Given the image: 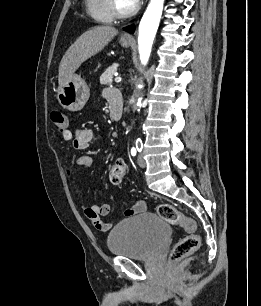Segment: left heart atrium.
Masks as SVG:
<instances>
[{
    "label": "left heart atrium",
    "mask_w": 261,
    "mask_h": 306,
    "mask_svg": "<svg viewBox=\"0 0 261 306\" xmlns=\"http://www.w3.org/2000/svg\"><path fill=\"white\" fill-rule=\"evenodd\" d=\"M131 4L135 5L139 0H129Z\"/></svg>",
    "instance_id": "1"
}]
</instances>
